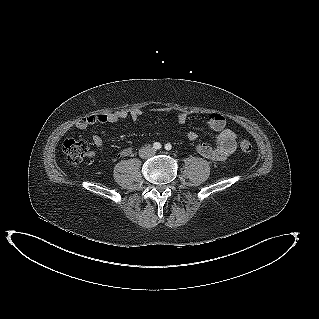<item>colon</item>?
<instances>
[{
  "mask_svg": "<svg viewBox=\"0 0 319 319\" xmlns=\"http://www.w3.org/2000/svg\"><path fill=\"white\" fill-rule=\"evenodd\" d=\"M239 147L244 152H250L252 144L248 139L242 138ZM63 152L69 163L79 164L89 155V145L83 138L70 137L63 142Z\"/></svg>",
  "mask_w": 319,
  "mask_h": 319,
  "instance_id": "5ec220e1",
  "label": "colon"
}]
</instances>
